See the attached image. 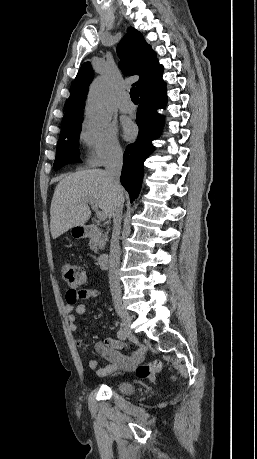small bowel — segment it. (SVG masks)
Returning a JSON list of instances; mask_svg holds the SVG:
<instances>
[{"mask_svg": "<svg viewBox=\"0 0 257 459\" xmlns=\"http://www.w3.org/2000/svg\"><path fill=\"white\" fill-rule=\"evenodd\" d=\"M85 291L87 293L86 298L96 297L99 294L97 290ZM79 293L80 290L76 288H70L66 292L67 305L65 311L67 314L69 329L73 332L78 330L77 315H84L87 312L86 304L78 302L80 300L77 299ZM77 345L79 347H83L84 343L82 339L77 340ZM94 347L96 352L109 362L105 367L99 368L96 359H89V368L100 377L107 376L118 369L132 370L137 364L142 362L144 357L143 349L133 352V354L130 357L123 355L121 353V350L124 347L123 342L112 337H108L103 341H97Z\"/></svg>", "mask_w": 257, "mask_h": 459, "instance_id": "small-bowel-1", "label": "small bowel"}]
</instances>
